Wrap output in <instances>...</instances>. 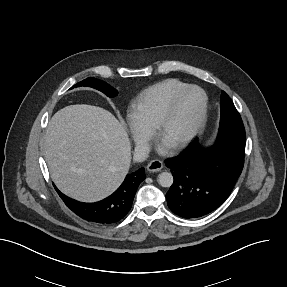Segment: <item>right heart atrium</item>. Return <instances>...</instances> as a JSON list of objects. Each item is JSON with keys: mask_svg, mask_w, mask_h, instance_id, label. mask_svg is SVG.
<instances>
[{"mask_svg": "<svg viewBox=\"0 0 287 287\" xmlns=\"http://www.w3.org/2000/svg\"><path fill=\"white\" fill-rule=\"evenodd\" d=\"M128 126L136 142L146 143L149 140L150 132L140 127L131 116L128 118Z\"/></svg>", "mask_w": 287, "mask_h": 287, "instance_id": "obj_1", "label": "right heart atrium"}]
</instances>
